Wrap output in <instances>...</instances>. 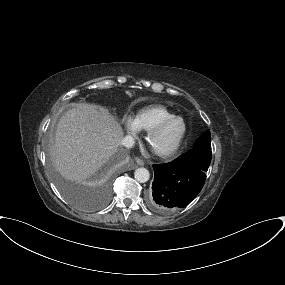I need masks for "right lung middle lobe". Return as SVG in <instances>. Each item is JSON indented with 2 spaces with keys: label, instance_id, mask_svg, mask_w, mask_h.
I'll use <instances>...</instances> for the list:
<instances>
[{
  "label": "right lung middle lobe",
  "instance_id": "1",
  "mask_svg": "<svg viewBox=\"0 0 285 285\" xmlns=\"http://www.w3.org/2000/svg\"><path fill=\"white\" fill-rule=\"evenodd\" d=\"M57 181L59 183V186L61 188V190L63 191V193L65 194L66 197H68L70 200H72L73 202L78 203L79 199L78 197L75 195V193L73 191H71V189L64 183L62 182L60 179H58L57 177Z\"/></svg>",
  "mask_w": 285,
  "mask_h": 285
}]
</instances>
